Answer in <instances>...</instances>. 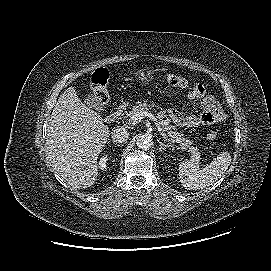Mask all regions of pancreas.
Instances as JSON below:
<instances>
[{
  "instance_id": "1",
  "label": "pancreas",
  "mask_w": 271,
  "mask_h": 271,
  "mask_svg": "<svg viewBox=\"0 0 271 271\" xmlns=\"http://www.w3.org/2000/svg\"><path fill=\"white\" fill-rule=\"evenodd\" d=\"M154 107V104H148L146 100L142 102H136L131 111H128L125 115L126 118L132 117L134 114L140 111H148ZM157 112V119L163 131H165L172 142L179 143L182 148H188L189 152L192 153V159L197 163L200 160V152L197 147L191 146L193 142L183 137V134L178 132L177 128L170 124V119L163 110H155Z\"/></svg>"
}]
</instances>
